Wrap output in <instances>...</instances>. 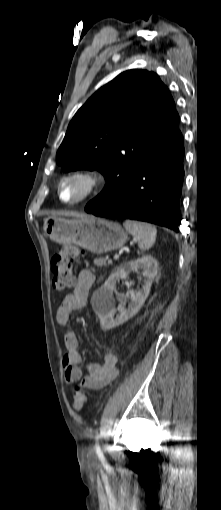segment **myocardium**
Instances as JSON below:
<instances>
[{
	"label": "myocardium",
	"mask_w": 221,
	"mask_h": 510,
	"mask_svg": "<svg viewBox=\"0 0 221 510\" xmlns=\"http://www.w3.org/2000/svg\"><path fill=\"white\" fill-rule=\"evenodd\" d=\"M79 180L84 184L83 193L76 199L67 201L62 197V190L66 183ZM103 184L102 173L94 167H84L71 170L62 177L58 186V196L62 203L67 205H78L94 197L101 189Z\"/></svg>",
	"instance_id": "myocardium-1"
}]
</instances>
